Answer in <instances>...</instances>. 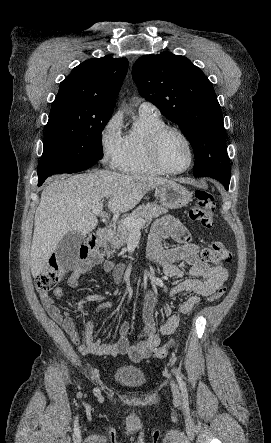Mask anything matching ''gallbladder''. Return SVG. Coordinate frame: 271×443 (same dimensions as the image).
Segmentation results:
<instances>
[{
	"mask_svg": "<svg viewBox=\"0 0 271 443\" xmlns=\"http://www.w3.org/2000/svg\"><path fill=\"white\" fill-rule=\"evenodd\" d=\"M82 241L84 237L78 231H69L58 243L55 253L58 261H61L62 273H71L73 269H80L81 252L78 249Z\"/></svg>",
	"mask_w": 271,
	"mask_h": 443,
	"instance_id": "1",
	"label": "gallbladder"
}]
</instances>
